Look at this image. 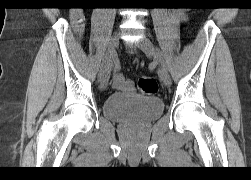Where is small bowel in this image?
Instances as JSON below:
<instances>
[{
    "mask_svg": "<svg viewBox=\"0 0 251 180\" xmlns=\"http://www.w3.org/2000/svg\"><path fill=\"white\" fill-rule=\"evenodd\" d=\"M177 17L180 20H185L186 15L182 11H177ZM72 24L76 33L81 36L84 31V16L80 11H73L71 14ZM114 87L118 90L131 92L133 90V84L131 81L125 79L122 75L116 74L113 78Z\"/></svg>",
    "mask_w": 251,
    "mask_h": 180,
    "instance_id": "obj_1",
    "label": "small bowel"
}]
</instances>
